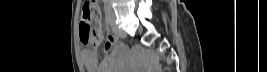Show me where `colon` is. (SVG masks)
Segmentation results:
<instances>
[{"label": "colon", "mask_w": 267, "mask_h": 72, "mask_svg": "<svg viewBox=\"0 0 267 72\" xmlns=\"http://www.w3.org/2000/svg\"><path fill=\"white\" fill-rule=\"evenodd\" d=\"M101 10L97 1H86L82 8V16L79 25L80 40L84 43L98 46L102 38L100 27Z\"/></svg>", "instance_id": "colon-1"}]
</instances>
